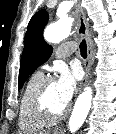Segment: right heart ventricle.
Returning <instances> with one entry per match:
<instances>
[{
	"mask_svg": "<svg viewBox=\"0 0 116 134\" xmlns=\"http://www.w3.org/2000/svg\"><path fill=\"white\" fill-rule=\"evenodd\" d=\"M42 78L43 74L40 71L34 72L27 80L21 93L18 124L20 129L24 132L34 133L44 129L48 124V121L37 117L32 112L29 104L30 95Z\"/></svg>",
	"mask_w": 116,
	"mask_h": 134,
	"instance_id": "obj_1",
	"label": "right heart ventricle"
}]
</instances>
